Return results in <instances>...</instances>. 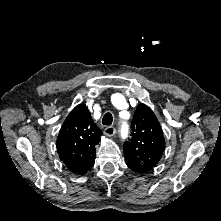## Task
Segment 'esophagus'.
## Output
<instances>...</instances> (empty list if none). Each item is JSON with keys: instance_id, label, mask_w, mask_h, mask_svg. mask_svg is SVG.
Wrapping results in <instances>:
<instances>
[{"instance_id": "1", "label": "esophagus", "mask_w": 221, "mask_h": 221, "mask_svg": "<svg viewBox=\"0 0 221 221\" xmlns=\"http://www.w3.org/2000/svg\"><path fill=\"white\" fill-rule=\"evenodd\" d=\"M115 133H116V129L114 127H112V126L106 127L104 129V134L106 136L110 137V136H113Z\"/></svg>"}]
</instances>
